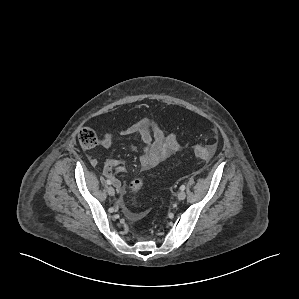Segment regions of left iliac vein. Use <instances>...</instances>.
Returning <instances> with one entry per match:
<instances>
[{
    "instance_id": "1",
    "label": "left iliac vein",
    "mask_w": 299,
    "mask_h": 299,
    "mask_svg": "<svg viewBox=\"0 0 299 299\" xmlns=\"http://www.w3.org/2000/svg\"><path fill=\"white\" fill-rule=\"evenodd\" d=\"M178 200H184L186 198V193L184 191H180L177 195Z\"/></svg>"
}]
</instances>
